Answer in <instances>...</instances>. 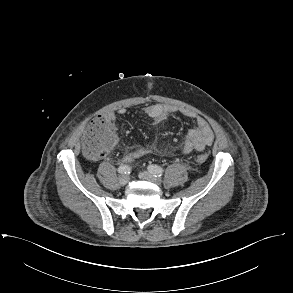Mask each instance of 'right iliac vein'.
Instances as JSON below:
<instances>
[{
  "label": "right iliac vein",
  "instance_id": "right-iliac-vein-1",
  "mask_svg": "<svg viewBox=\"0 0 293 293\" xmlns=\"http://www.w3.org/2000/svg\"><path fill=\"white\" fill-rule=\"evenodd\" d=\"M129 182V176L123 174L119 177V183L120 185H126Z\"/></svg>",
  "mask_w": 293,
  "mask_h": 293
}]
</instances>
